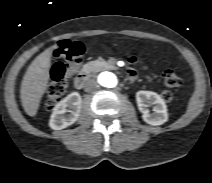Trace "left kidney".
<instances>
[{"mask_svg": "<svg viewBox=\"0 0 212 183\" xmlns=\"http://www.w3.org/2000/svg\"><path fill=\"white\" fill-rule=\"evenodd\" d=\"M136 101L139 111L143 114L142 119L153 126L162 125L168 120L167 106L165 101L155 92L138 91ZM153 105L154 113L150 114L148 106Z\"/></svg>", "mask_w": 212, "mask_h": 183, "instance_id": "left-kidney-1", "label": "left kidney"}]
</instances>
